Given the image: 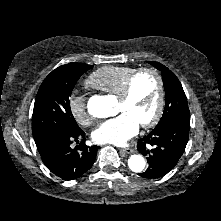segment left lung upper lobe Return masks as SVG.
<instances>
[{
    "instance_id": "1",
    "label": "left lung upper lobe",
    "mask_w": 221,
    "mask_h": 221,
    "mask_svg": "<svg viewBox=\"0 0 221 221\" xmlns=\"http://www.w3.org/2000/svg\"><path fill=\"white\" fill-rule=\"evenodd\" d=\"M149 63L162 72L165 88V109L155 128L161 127L174 118L190 116L186 95L175 74L158 62L149 61Z\"/></svg>"
}]
</instances>
